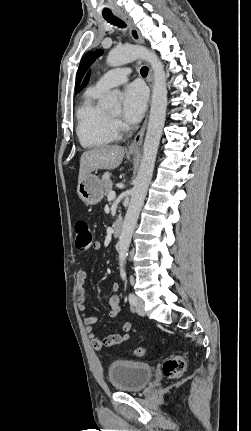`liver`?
I'll return each mask as SVG.
<instances>
[{
    "instance_id": "1",
    "label": "liver",
    "mask_w": 251,
    "mask_h": 431,
    "mask_svg": "<svg viewBox=\"0 0 251 431\" xmlns=\"http://www.w3.org/2000/svg\"><path fill=\"white\" fill-rule=\"evenodd\" d=\"M125 148L119 145H106L85 151L80 158L78 183L93 171L117 168L125 155Z\"/></svg>"
}]
</instances>
